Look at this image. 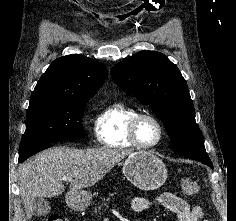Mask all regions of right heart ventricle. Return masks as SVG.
<instances>
[{
	"instance_id": "obj_1",
	"label": "right heart ventricle",
	"mask_w": 236,
	"mask_h": 221,
	"mask_svg": "<svg viewBox=\"0 0 236 221\" xmlns=\"http://www.w3.org/2000/svg\"><path fill=\"white\" fill-rule=\"evenodd\" d=\"M137 109L123 101L105 107L95 120V134L101 145L112 149H131L135 146L128 139V125Z\"/></svg>"
}]
</instances>
